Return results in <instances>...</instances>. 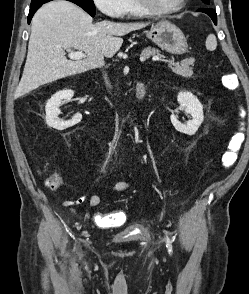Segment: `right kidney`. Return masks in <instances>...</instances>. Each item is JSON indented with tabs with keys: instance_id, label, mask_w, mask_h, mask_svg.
Returning a JSON list of instances; mask_svg holds the SVG:
<instances>
[{
	"instance_id": "1",
	"label": "right kidney",
	"mask_w": 249,
	"mask_h": 294,
	"mask_svg": "<svg viewBox=\"0 0 249 294\" xmlns=\"http://www.w3.org/2000/svg\"><path fill=\"white\" fill-rule=\"evenodd\" d=\"M74 95L72 90H62L55 93L47 102L45 106L46 111V123L48 126L56 130H64L66 128L72 127L79 123L82 119V115L77 113L68 121H63L59 119L60 109L59 106L63 100L70 101Z\"/></svg>"
}]
</instances>
